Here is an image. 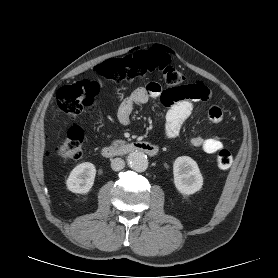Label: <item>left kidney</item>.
Here are the masks:
<instances>
[{"instance_id":"left-kidney-1","label":"left kidney","mask_w":278,"mask_h":278,"mask_svg":"<svg viewBox=\"0 0 278 278\" xmlns=\"http://www.w3.org/2000/svg\"><path fill=\"white\" fill-rule=\"evenodd\" d=\"M173 175L175 187L183 195L194 194L202 188V174L191 157H178L173 164Z\"/></svg>"}]
</instances>
